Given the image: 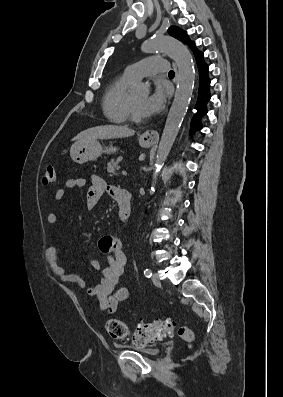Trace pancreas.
Returning <instances> with one entry per match:
<instances>
[{"instance_id":"pancreas-1","label":"pancreas","mask_w":283,"mask_h":397,"mask_svg":"<svg viewBox=\"0 0 283 397\" xmlns=\"http://www.w3.org/2000/svg\"><path fill=\"white\" fill-rule=\"evenodd\" d=\"M119 169V161L118 160H110L107 163L106 170L110 173V176L116 175V171Z\"/></svg>"}]
</instances>
